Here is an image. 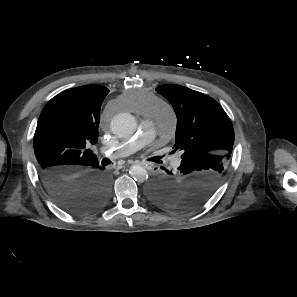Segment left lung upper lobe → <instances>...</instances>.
I'll use <instances>...</instances> for the list:
<instances>
[{
    "label": "left lung upper lobe",
    "instance_id": "left-lung-upper-lobe-1",
    "mask_svg": "<svg viewBox=\"0 0 297 297\" xmlns=\"http://www.w3.org/2000/svg\"><path fill=\"white\" fill-rule=\"evenodd\" d=\"M156 91L173 106L177 116L174 152L181 150L182 170L171 174V188L151 191L158 206L179 212L198 208L216 191L225 175L234 129L228 115L211 97L179 85Z\"/></svg>",
    "mask_w": 297,
    "mask_h": 297
}]
</instances>
